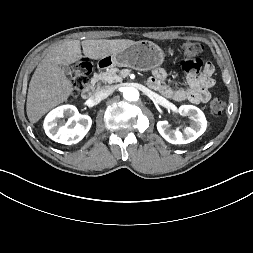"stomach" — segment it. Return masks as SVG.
Masks as SVG:
<instances>
[{
    "instance_id": "1",
    "label": "stomach",
    "mask_w": 253,
    "mask_h": 253,
    "mask_svg": "<svg viewBox=\"0 0 253 253\" xmlns=\"http://www.w3.org/2000/svg\"><path fill=\"white\" fill-rule=\"evenodd\" d=\"M164 58L165 53L159 46L151 41L142 40L124 50L101 58L100 61L103 69L118 66L148 71L160 66Z\"/></svg>"
}]
</instances>
